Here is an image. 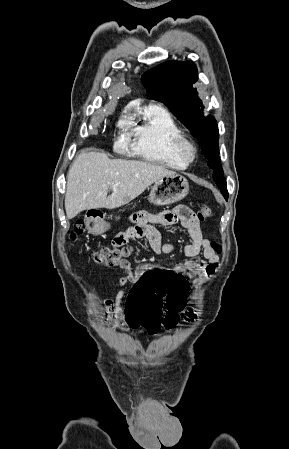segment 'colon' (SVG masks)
I'll return each mask as SVG.
<instances>
[{
  "mask_svg": "<svg viewBox=\"0 0 289 449\" xmlns=\"http://www.w3.org/2000/svg\"><path fill=\"white\" fill-rule=\"evenodd\" d=\"M197 217L201 221L210 220L213 211L207 203H201ZM84 219L76 221L71 238L76 239L83 234L88 224ZM212 248L219 253L220 245L211 242ZM130 253L127 247H104L93 254V261L102 266H117ZM188 283L179 271L173 268H146L141 276L133 283L128 301L125 302L126 317L132 328L143 327L155 334L162 327L173 328L179 312L186 306ZM166 309V312L164 311Z\"/></svg>",
  "mask_w": 289,
  "mask_h": 449,
  "instance_id": "5ec220e1",
  "label": "colon"
}]
</instances>
